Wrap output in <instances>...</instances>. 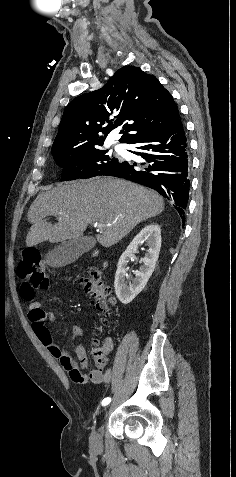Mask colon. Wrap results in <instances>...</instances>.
Listing matches in <instances>:
<instances>
[{"mask_svg":"<svg viewBox=\"0 0 236 477\" xmlns=\"http://www.w3.org/2000/svg\"><path fill=\"white\" fill-rule=\"evenodd\" d=\"M17 274L21 280L20 295L23 300L32 301L35 291L45 289L50 285L49 274L42 265V255L35 248L26 249L19 258ZM80 284L90 296L96 309L102 314H108L113 304L110 296V288L105 286L102 274L97 270H91L80 279ZM98 368L102 369L105 364V354L102 348L93 350Z\"/></svg>","mask_w":236,"mask_h":477,"instance_id":"1","label":"colon"}]
</instances>
